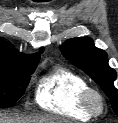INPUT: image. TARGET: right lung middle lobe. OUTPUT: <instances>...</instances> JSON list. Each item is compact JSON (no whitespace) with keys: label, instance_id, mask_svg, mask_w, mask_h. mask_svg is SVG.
<instances>
[{"label":"right lung middle lobe","instance_id":"obj_1","mask_svg":"<svg viewBox=\"0 0 118 123\" xmlns=\"http://www.w3.org/2000/svg\"><path fill=\"white\" fill-rule=\"evenodd\" d=\"M34 70L0 62V106L13 104L21 98Z\"/></svg>","mask_w":118,"mask_h":123}]
</instances>
